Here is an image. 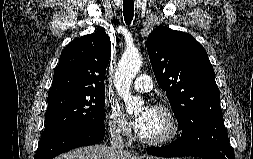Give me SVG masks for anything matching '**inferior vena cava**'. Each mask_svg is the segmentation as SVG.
I'll return each instance as SVG.
<instances>
[{
    "instance_id": "inferior-vena-cava-1",
    "label": "inferior vena cava",
    "mask_w": 253,
    "mask_h": 159,
    "mask_svg": "<svg viewBox=\"0 0 253 159\" xmlns=\"http://www.w3.org/2000/svg\"><path fill=\"white\" fill-rule=\"evenodd\" d=\"M110 149L112 151H116V152H125L124 151V140L123 137L121 135V133L117 130L115 131H111V137H110Z\"/></svg>"
}]
</instances>
